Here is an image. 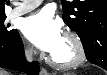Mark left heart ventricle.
Instances as JSON below:
<instances>
[{
    "mask_svg": "<svg viewBox=\"0 0 107 75\" xmlns=\"http://www.w3.org/2000/svg\"><path fill=\"white\" fill-rule=\"evenodd\" d=\"M58 61H68L74 56V49L72 43L63 37V40L58 49L52 54Z\"/></svg>",
    "mask_w": 107,
    "mask_h": 75,
    "instance_id": "1",
    "label": "left heart ventricle"
}]
</instances>
